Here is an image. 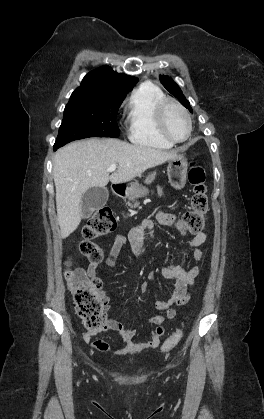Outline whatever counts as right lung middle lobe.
Wrapping results in <instances>:
<instances>
[{"instance_id":"1","label":"right lung middle lobe","mask_w":264,"mask_h":419,"mask_svg":"<svg viewBox=\"0 0 264 419\" xmlns=\"http://www.w3.org/2000/svg\"><path fill=\"white\" fill-rule=\"evenodd\" d=\"M125 96L75 90L65 107L54 147L88 137H118L117 111Z\"/></svg>"}]
</instances>
